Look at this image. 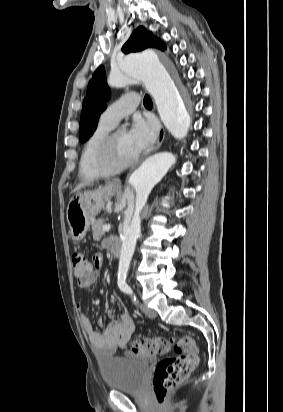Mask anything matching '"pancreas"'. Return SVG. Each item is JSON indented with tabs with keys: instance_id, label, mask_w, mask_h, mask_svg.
<instances>
[{
	"instance_id": "obj_1",
	"label": "pancreas",
	"mask_w": 283,
	"mask_h": 412,
	"mask_svg": "<svg viewBox=\"0 0 283 412\" xmlns=\"http://www.w3.org/2000/svg\"><path fill=\"white\" fill-rule=\"evenodd\" d=\"M105 225L104 219H97L92 221V232L94 240H99L104 232L102 227Z\"/></svg>"
}]
</instances>
